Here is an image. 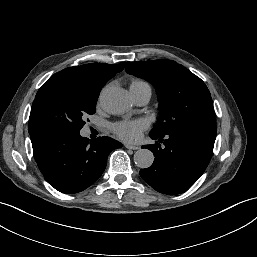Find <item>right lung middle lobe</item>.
<instances>
[{
	"label": "right lung middle lobe",
	"instance_id": "1",
	"mask_svg": "<svg viewBox=\"0 0 257 257\" xmlns=\"http://www.w3.org/2000/svg\"><path fill=\"white\" fill-rule=\"evenodd\" d=\"M98 96L62 79L50 78L36 94L29 117V133H79L86 116L95 113Z\"/></svg>",
	"mask_w": 257,
	"mask_h": 257
}]
</instances>
